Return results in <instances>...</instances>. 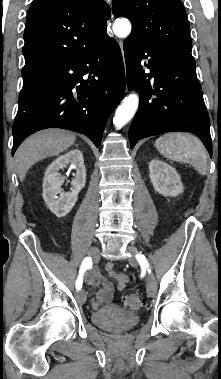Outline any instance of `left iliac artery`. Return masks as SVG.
I'll return each mask as SVG.
<instances>
[{"label":"left iliac artery","instance_id":"44dca946","mask_svg":"<svg viewBox=\"0 0 221 379\" xmlns=\"http://www.w3.org/2000/svg\"><path fill=\"white\" fill-rule=\"evenodd\" d=\"M136 258L142 267L149 268V263L144 255L136 254ZM148 271L150 272L151 270L148 269Z\"/></svg>","mask_w":221,"mask_h":379}]
</instances>
